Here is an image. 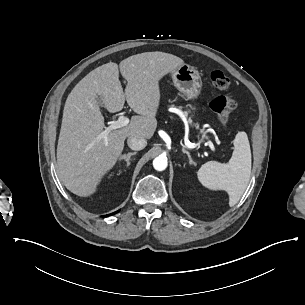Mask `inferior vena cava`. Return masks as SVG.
<instances>
[{
  "label": "inferior vena cava",
  "mask_w": 305,
  "mask_h": 305,
  "mask_svg": "<svg viewBox=\"0 0 305 305\" xmlns=\"http://www.w3.org/2000/svg\"><path fill=\"white\" fill-rule=\"evenodd\" d=\"M127 144L132 150L139 151L146 147L147 142L145 139H137L135 137L130 136L127 139Z\"/></svg>",
  "instance_id": "602c4592"
}]
</instances>
